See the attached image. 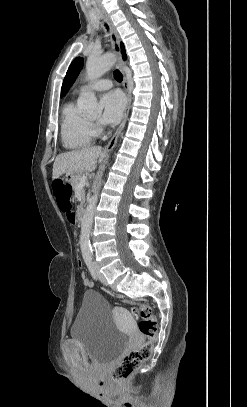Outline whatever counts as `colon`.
Instances as JSON below:
<instances>
[{
	"instance_id": "colon-1",
	"label": "colon",
	"mask_w": 247,
	"mask_h": 407,
	"mask_svg": "<svg viewBox=\"0 0 247 407\" xmlns=\"http://www.w3.org/2000/svg\"><path fill=\"white\" fill-rule=\"evenodd\" d=\"M53 193L57 199L60 210L68 215L72 211V188L62 181L56 180L52 184ZM123 302L132 306V312L135 318L139 320V331L147 337V340L126 354L123 359L112 369L111 377L115 382L125 381L135 370L147 361L153 350V343L157 334V320L154 315L153 307L144 302L123 297Z\"/></svg>"
}]
</instances>
